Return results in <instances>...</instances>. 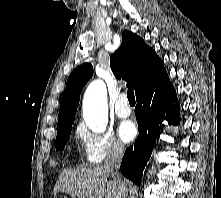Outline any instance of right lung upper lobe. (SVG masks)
Returning <instances> with one entry per match:
<instances>
[{"instance_id":"obj_1","label":"right lung upper lobe","mask_w":221,"mask_h":198,"mask_svg":"<svg viewBox=\"0 0 221 198\" xmlns=\"http://www.w3.org/2000/svg\"><path fill=\"white\" fill-rule=\"evenodd\" d=\"M110 66L117 78L127 81L136 95L147 88L165 69L163 61L143 39L130 31L122 33V43L110 57ZM93 75L89 63L78 66L69 76L58 115L57 131L72 126L83 86Z\"/></svg>"}]
</instances>
